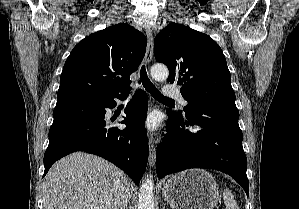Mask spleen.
<instances>
[{
    "label": "spleen",
    "mask_w": 299,
    "mask_h": 209,
    "mask_svg": "<svg viewBox=\"0 0 299 209\" xmlns=\"http://www.w3.org/2000/svg\"><path fill=\"white\" fill-rule=\"evenodd\" d=\"M223 200H224L226 209H239L236 201L234 200V196L229 189H226L223 192Z\"/></svg>",
    "instance_id": "obj_1"
}]
</instances>
